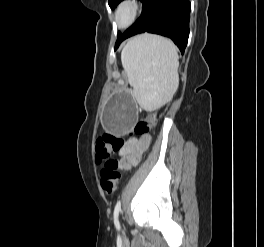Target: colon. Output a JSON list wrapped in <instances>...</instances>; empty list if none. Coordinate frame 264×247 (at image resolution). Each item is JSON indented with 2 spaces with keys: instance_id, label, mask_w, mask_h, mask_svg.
<instances>
[{
  "instance_id": "obj_1",
  "label": "colon",
  "mask_w": 264,
  "mask_h": 247,
  "mask_svg": "<svg viewBox=\"0 0 264 247\" xmlns=\"http://www.w3.org/2000/svg\"><path fill=\"white\" fill-rule=\"evenodd\" d=\"M155 114L152 113L148 118L140 120L135 128V135H142L150 131L155 124ZM133 138V134L131 135ZM125 141L111 133H106L100 137L95 145V158L98 163H104L100 171L99 182L102 190L106 194L116 191L121 179L120 163L112 157V154L123 149Z\"/></svg>"
}]
</instances>
